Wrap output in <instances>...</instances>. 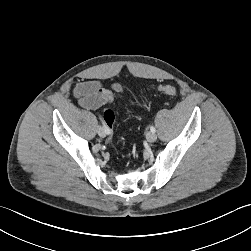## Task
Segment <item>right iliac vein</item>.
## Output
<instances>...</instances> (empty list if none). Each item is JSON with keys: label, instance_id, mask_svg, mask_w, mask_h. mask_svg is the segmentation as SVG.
I'll use <instances>...</instances> for the list:
<instances>
[{"label": "right iliac vein", "instance_id": "1", "mask_svg": "<svg viewBox=\"0 0 251 251\" xmlns=\"http://www.w3.org/2000/svg\"><path fill=\"white\" fill-rule=\"evenodd\" d=\"M97 133L101 138H104L106 136L105 130L103 127L99 126L97 128Z\"/></svg>", "mask_w": 251, "mask_h": 251}]
</instances>
